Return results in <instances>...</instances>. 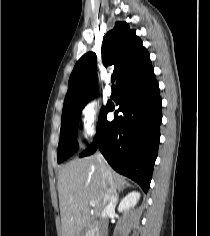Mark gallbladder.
<instances>
[{
	"instance_id": "gallbladder-1",
	"label": "gallbladder",
	"mask_w": 210,
	"mask_h": 236,
	"mask_svg": "<svg viewBox=\"0 0 210 236\" xmlns=\"http://www.w3.org/2000/svg\"><path fill=\"white\" fill-rule=\"evenodd\" d=\"M85 231L86 229H84L79 236H85Z\"/></svg>"
}]
</instances>
